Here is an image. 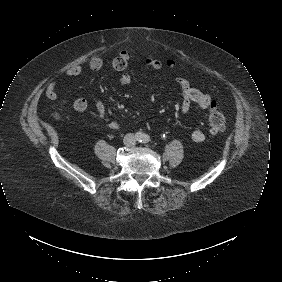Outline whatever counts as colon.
<instances>
[{
    "label": "colon",
    "mask_w": 282,
    "mask_h": 282,
    "mask_svg": "<svg viewBox=\"0 0 282 282\" xmlns=\"http://www.w3.org/2000/svg\"><path fill=\"white\" fill-rule=\"evenodd\" d=\"M208 126L212 133H218L225 129V118L217 102L211 101L208 110Z\"/></svg>",
    "instance_id": "obj_1"
}]
</instances>
